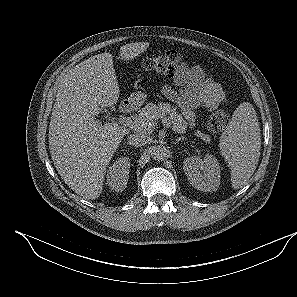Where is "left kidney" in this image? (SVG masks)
Returning a JSON list of instances; mask_svg holds the SVG:
<instances>
[{
    "mask_svg": "<svg viewBox=\"0 0 297 297\" xmlns=\"http://www.w3.org/2000/svg\"><path fill=\"white\" fill-rule=\"evenodd\" d=\"M184 172L192 186L203 192L216 191L220 185V167L210 154L204 159L191 156L183 161Z\"/></svg>",
    "mask_w": 297,
    "mask_h": 297,
    "instance_id": "1",
    "label": "left kidney"
}]
</instances>
